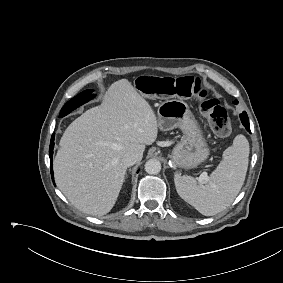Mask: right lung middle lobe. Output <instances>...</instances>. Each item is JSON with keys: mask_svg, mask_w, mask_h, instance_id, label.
Masks as SVG:
<instances>
[{"mask_svg": "<svg viewBox=\"0 0 283 283\" xmlns=\"http://www.w3.org/2000/svg\"><path fill=\"white\" fill-rule=\"evenodd\" d=\"M92 90H85L75 96L73 99H71L69 102H67L64 107L62 108L60 112V117H64L80 105L88 102L90 99L94 97V94H92Z\"/></svg>", "mask_w": 283, "mask_h": 283, "instance_id": "obj_1", "label": "right lung middle lobe"}]
</instances>
